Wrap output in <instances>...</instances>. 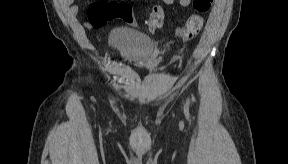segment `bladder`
<instances>
[{
    "label": "bladder",
    "instance_id": "31cf9c89",
    "mask_svg": "<svg viewBox=\"0 0 288 164\" xmlns=\"http://www.w3.org/2000/svg\"><path fill=\"white\" fill-rule=\"evenodd\" d=\"M121 54L136 64L147 63L154 54V43L145 37L120 34L113 39Z\"/></svg>",
    "mask_w": 288,
    "mask_h": 164
}]
</instances>
